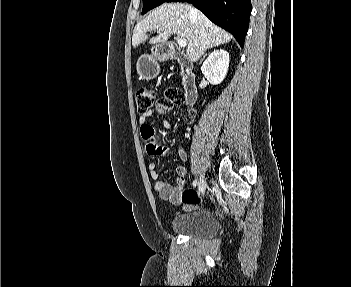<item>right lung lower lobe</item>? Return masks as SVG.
Listing matches in <instances>:
<instances>
[{
	"instance_id": "1",
	"label": "right lung lower lobe",
	"mask_w": 351,
	"mask_h": 287,
	"mask_svg": "<svg viewBox=\"0 0 351 287\" xmlns=\"http://www.w3.org/2000/svg\"><path fill=\"white\" fill-rule=\"evenodd\" d=\"M166 2L193 4L216 25L232 33L243 47L251 12L250 0H166Z\"/></svg>"
}]
</instances>
